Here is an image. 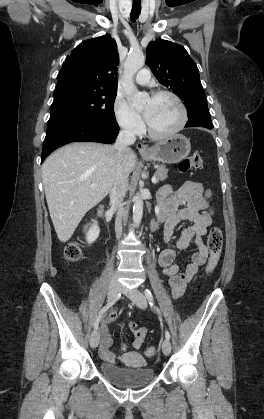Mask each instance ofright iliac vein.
<instances>
[{"instance_id": "obj_1", "label": "right iliac vein", "mask_w": 264, "mask_h": 419, "mask_svg": "<svg viewBox=\"0 0 264 419\" xmlns=\"http://www.w3.org/2000/svg\"><path fill=\"white\" fill-rule=\"evenodd\" d=\"M119 290H120V284L118 283L116 279H113L109 285L108 301H112L117 296ZM99 340H100V332L98 329H95L90 336V346L92 348H96L99 344Z\"/></svg>"}]
</instances>
